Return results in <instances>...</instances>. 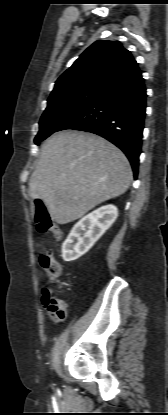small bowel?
<instances>
[{
  "label": "small bowel",
  "mask_w": 168,
  "mask_h": 415,
  "mask_svg": "<svg viewBox=\"0 0 168 415\" xmlns=\"http://www.w3.org/2000/svg\"><path fill=\"white\" fill-rule=\"evenodd\" d=\"M42 304L54 321L64 320L66 316L65 304L61 299L54 297L48 287L42 289Z\"/></svg>",
  "instance_id": "small-bowel-1"
}]
</instances>
